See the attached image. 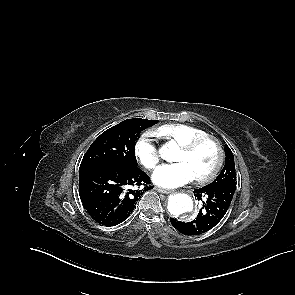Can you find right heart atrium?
<instances>
[{"label":"right heart atrium","instance_id":"d8ad5b80","mask_svg":"<svg viewBox=\"0 0 295 295\" xmlns=\"http://www.w3.org/2000/svg\"><path fill=\"white\" fill-rule=\"evenodd\" d=\"M135 155L144 168L153 170L157 167L160 154L154 143L153 132L148 131L140 136L135 144Z\"/></svg>","mask_w":295,"mask_h":295}]
</instances>
